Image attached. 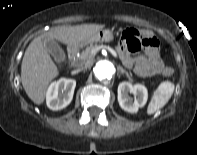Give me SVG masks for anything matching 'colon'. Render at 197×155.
Returning a JSON list of instances; mask_svg holds the SVG:
<instances>
[{"instance_id": "5ec220e1", "label": "colon", "mask_w": 197, "mask_h": 155, "mask_svg": "<svg viewBox=\"0 0 197 155\" xmlns=\"http://www.w3.org/2000/svg\"><path fill=\"white\" fill-rule=\"evenodd\" d=\"M122 38L127 41V45L130 51L136 52L144 47L158 46L157 39L153 36H142L140 32L134 28H128L124 30ZM173 73V69L166 67L163 70L164 76H170Z\"/></svg>"}]
</instances>
